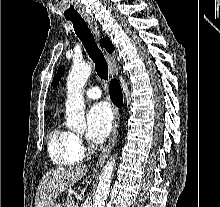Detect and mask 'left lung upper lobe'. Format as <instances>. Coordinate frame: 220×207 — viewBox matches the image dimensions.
<instances>
[{
  "instance_id": "obj_1",
  "label": "left lung upper lobe",
  "mask_w": 220,
  "mask_h": 207,
  "mask_svg": "<svg viewBox=\"0 0 220 207\" xmlns=\"http://www.w3.org/2000/svg\"><path fill=\"white\" fill-rule=\"evenodd\" d=\"M64 73V66H61L58 71H57V74L55 75L54 79H53V82H52V85L55 87L59 80L61 79L62 75Z\"/></svg>"
}]
</instances>
